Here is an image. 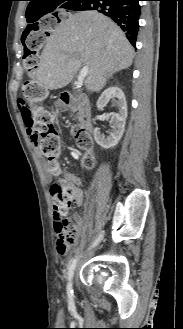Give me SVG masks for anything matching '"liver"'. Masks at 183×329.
<instances>
[{"label":"liver","mask_w":183,"mask_h":329,"mask_svg":"<svg viewBox=\"0 0 183 329\" xmlns=\"http://www.w3.org/2000/svg\"><path fill=\"white\" fill-rule=\"evenodd\" d=\"M134 49L124 32L96 11H81L61 21L43 48L37 82L45 89H59L74 74L88 67L85 86L99 92L117 71L132 65Z\"/></svg>","instance_id":"liver-1"}]
</instances>
